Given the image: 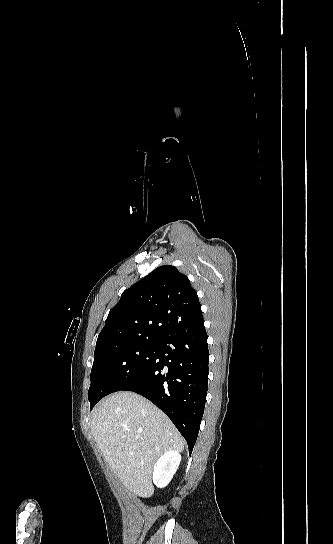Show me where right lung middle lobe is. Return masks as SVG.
Wrapping results in <instances>:
<instances>
[{
  "label": "right lung middle lobe",
  "instance_id": "obj_1",
  "mask_svg": "<svg viewBox=\"0 0 333 544\" xmlns=\"http://www.w3.org/2000/svg\"><path fill=\"white\" fill-rule=\"evenodd\" d=\"M157 340H139L95 354L89 388L90 409L106 395L136 379L155 355Z\"/></svg>",
  "mask_w": 333,
  "mask_h": 544
}]
</instances>
